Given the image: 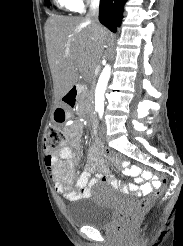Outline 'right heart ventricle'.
Segmentation results:
<instances>
[{
	"instance_id": "e07e8e85",
	"label": "right heart ventricle",
	"mask_w": 183,
	"mask_h": 246,
	"mask_svg": "<svg viewBox=\"0 0 183 246\" xmlns=\"http://www.w3.org/2000/svg\"><path fill=\"white\" fill-rule=\"evenodd\" d=\"M56 6L62 10L75 11L77 7L72 0H54Z\"/></svg>"
}]
</instances>
